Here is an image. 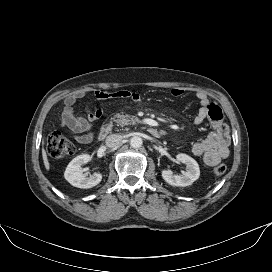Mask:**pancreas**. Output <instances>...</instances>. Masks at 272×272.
Masks as SVG:
<instances>
[{
  "label": "pancreas",
  "mask_w": 272,
  "mask_h": 272,
  "mask_svg": "<svg viewBox=\"0 0 272 272\" xmlns=\"http://www.w3.org/2000/svg\"><path fill=\"white\" fill-rule=\"evenodd\" d=\"M113 121H115L120 126H125L128 124H135L138 120L134 116L127 114H116L113 118Z\"/></svg>",
  "instance_id": "cf45deb5"
}]
</instances>
